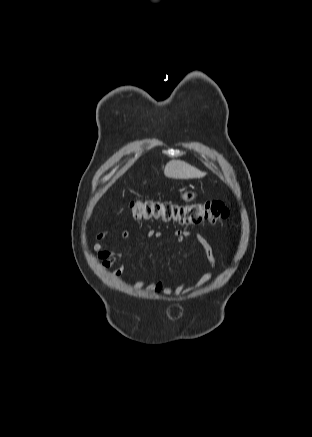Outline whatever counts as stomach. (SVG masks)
Segmentation results:
<instances>
[{"label":"stomach","instance_id":"stomach-1","mask_svg":"<svg viewBox=\"0 0 312 437\" xmlns=\"http://www.w3.org/2000/svg\"><path fill=\"white\" fill-rule=\"evenodd\" d=\"M196 193L194 191H185L181 194V199L186 201V202H191L193 200H195L196 198Z\"/></svg>","mask_w":312,"mask_h":437}]
</instances>
